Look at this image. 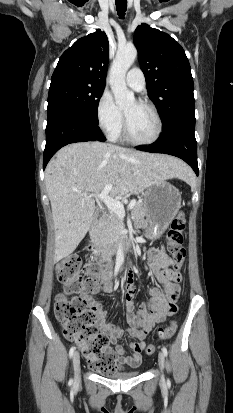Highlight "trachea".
I'll list each match as a JSON object with an SVG mask.
<instances>
[{"mask_svg": "<svg viewBox=\"0 0 233 413\" xmlns=\"http://www.w3.org/2000/svg\"><path fill=\"white\" fill-rule=\"evenodd\" d=\"M116 1V9L118 15L121 19L124 18L126 9H127V0H115Z\"/></svg>", "mask_w": 233, "mask_h": 413, "instance_id": "1", "label": "trachea"}]
</instances>
